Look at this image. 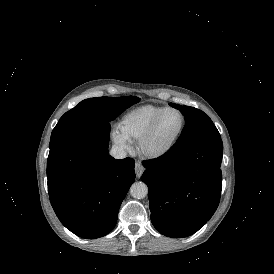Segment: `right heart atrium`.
Masks as SVG:
<instances>
[{
	"instance_id": "1",
	"label": "right heart atrium",
	"mask_w": 274,
	"mask_h": 274,
	"mask_svg": "<svg viewBox=\"0 0 274 274\" xmlns=\"http://www.w3.org/2000/svg\"><path fill=\"white\" fill-rule=\"evenodd\" d=\"M112 137L114 142L117 143L121 148L124 150L130 149L129 142L119 132H113Z\"/></svg>"
}]
</instances>
